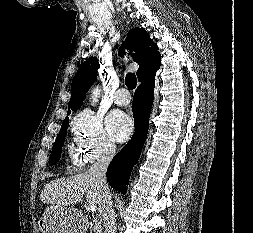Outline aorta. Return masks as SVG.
Instances as JSON below:
<instances>
[{"instance_id": "1", "label": "aorta", "mask_w": 253, "mask_h": 233, "mask_svg": "<svg viewBox=\"0 0 253 233\" xmlns=\"http://www.w3.org/2000/svg\"><path fill=\"white\" fill-rule=\"evenodd\" d=\"M99 93H100V89H99L98 87L95 88V89L92 91V96H91V98H92V104H93V105L98 101L97 97H98Z\"/></svg>"}]
</instances>
